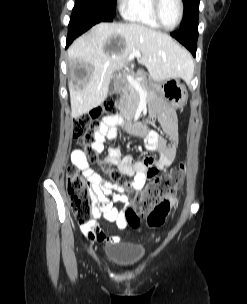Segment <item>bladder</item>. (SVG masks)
I'll list each match as a JSON object with an SVG mask.
<instances>
[{"mask_svg":"<svg viewBox=\"0 0 247 304\" xmlns=\"http://www.w3.org/2000/svg\"><path fill=\"white\" fill-rule=\"evenodd\" d=\"M145 254V249L136 245L110 244L104 249L105 258L112 265L121 269L139 265L145 257Z\"/></svg>","mask_w":247,"mask_h":304,"instance_id":"31cf9c89","label":"bladder"}]
</instances>
